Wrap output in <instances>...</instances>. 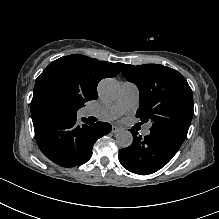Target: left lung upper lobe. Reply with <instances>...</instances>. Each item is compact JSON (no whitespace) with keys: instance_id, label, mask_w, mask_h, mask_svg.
Instances as JSON below:
<instances>
[{"instance_id":"left-lung-upper-lobe-1","label":"left lung upper lobe","mask_w":219,"mask_h":219,"mask_svg":"<svg viewBox=\"0 0 219 219\" xmlns=\"http://www.w3.org/2000/svg\"><path fill=\"white\" fill-rule=\"evenodd\" d=\"M123 76L140 92L136 117L150 121V132L182 145L193 117V95L186 79L159 64L123 65Z\"/></svg>"}]
</instances>
